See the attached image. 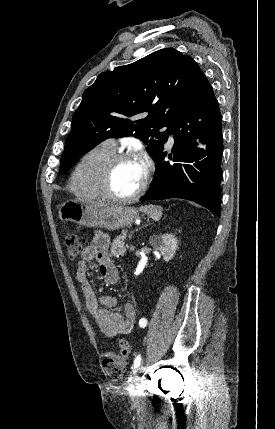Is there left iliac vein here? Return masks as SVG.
I'll list each match as a JSON object with an SVG mask.
<instances>
[{"mask_svg": "<svg viewBox=\"0 0 275 429\" xmlns=\"http://www.w3.org/2000/svg\"><path fill=\"white\" fill-rule=\"evenodd\" d=\"M145 363H146V361L145 360H143L141 363H140V367L137 369V372L138 373H140V372H142L143 371V369H144V366H145Z\"/></svg>", "mask_w": 275, "mask_h": 429, "instance_id": "obj_1", "label": "left iliac vein"}]
</instances>
